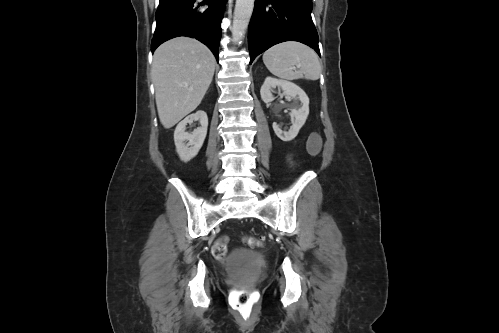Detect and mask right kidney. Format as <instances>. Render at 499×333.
Wrapping results in <instances>:
<instances>
[{"instance_id": "ca27d5eb", "label": "right kidney", "mask_w": 499, "mask_h": 333, "mask_svg": "<svg viewBox=\"0 0 499 333\" xmlns=\"http://www.w3.org/2000/svg\"><path fill=\"white\" fill-rule=\"evenodd\" d=\"M199 121L200 127L192 134L186 132V125ZM208 117L204 111H197L181 121L174 131V142L180 159L184 162L194 158L201 149L207 134Z\"/></svg>"}]
</instances>
